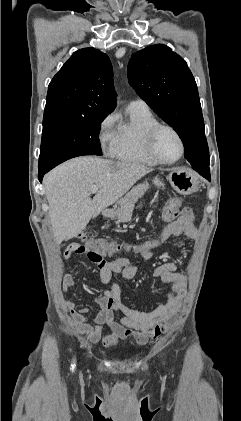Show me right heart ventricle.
<instances>
[{
    "label": "right heart ventricle",
    "instance_id": "right-heart-ventricle-1",
    "mask_svg": "<svg viewBox=\"0 0 241 421\" xmlns=\"http://www.w3.org/2000/svg\"><path fill=\"white\" fill-rule=\"evenodd\" d=\"M127 121L119 124L110 153L118 160L155 166L158 163L146 149L145 138L151 127L158 124L149 108L128 107Z\"/></svg>",
    "mask_w": 241,
    "mask_h": 421
}]
</instances>
